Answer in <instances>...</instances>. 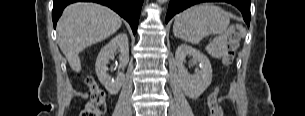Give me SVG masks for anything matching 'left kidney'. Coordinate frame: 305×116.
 <instances>
[{"label":"left kidney","instance_id":"obj_1","mask_svg":"<svg viewBox=\"0 0 305 116\" xmlns=\"http://www.w3.org/2000/svg\"><path fill=\"white\" fill-rule=\"evenodd\" d=\"M192 56L193 62H198L200 70L190 75L184 67L186 56ZM175 63L178 68V78L185 95L191 99L198 98L211 84L212 67L208 57L199 50L188 45H180L175 52Z\"/></svg>","mask_w":305,"mask_h":116}]
</instances>
